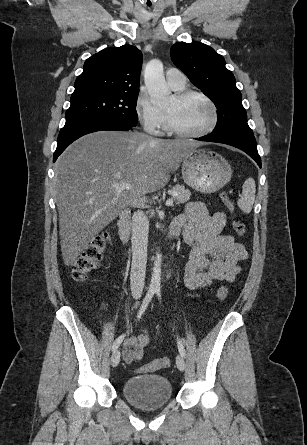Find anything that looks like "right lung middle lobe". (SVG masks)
I'll return each instance as SVG.
<instances>
[{"label":"right lung middle lobe","mask_w":307,"mask_h":445,"mask_svg":"<svg viewBox=\"0 0 307 445\" xmlns=\"http://www.w3.org/2000/svg\"><path fill=\"white\" fill-rule=\"evenodd\" d=\"M138 93L136 94H91L72 96L66 111V121L86 117H105L136 126Z\"/></svg>","instance_id":"obj_1"}]
</instances>
